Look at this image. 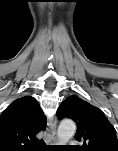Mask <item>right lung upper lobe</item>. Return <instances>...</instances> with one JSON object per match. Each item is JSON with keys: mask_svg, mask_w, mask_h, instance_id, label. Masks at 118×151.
<instances>
[{"mask_svg": "<svg viewBox=\"0 0 118 151\" xmlns=\"http://www.w3.org/2000/svg\"><path fill=\"white\" fill-rule=\"evenodd\" d=\"M45 127L46 117L33 97L16 99L0 115V151L36 149L43 143L36 135Z\"/></svg>", "mask_w": 118, "mask_h": 151, "instance_id": "cb5924a9", "label": "right lung upper lobe"}]
</instances>
